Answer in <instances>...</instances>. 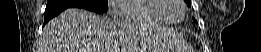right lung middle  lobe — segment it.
Returning a JSON list of instances; mask_svg holds the SVG:
<instances>
[{
  "label": "right lung middle lobe",
  "mask_w": 261,
  "mask_h": 52,
  "mask_svg": "<svg viewBox=\"0 0 261 52\" xmlns=\"http://www.w3.org/2000/svg\"><path fill=\"white\" fill-rule=\"evenodd\" d=\"M51 4L83 8L96 13H103L108 10L107 0H47V5Z\"/></svg>",
  "instance_id": "1"
}]
</instances>
